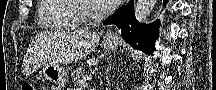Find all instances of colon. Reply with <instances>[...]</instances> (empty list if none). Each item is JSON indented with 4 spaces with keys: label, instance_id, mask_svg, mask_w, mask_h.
<instances>
[{
    "label": "colon",
    "instance_id": "5ec220e1",
    "mask_svg": "<svg viewBox=\"0 0 216 90\" xmlns=\"http://www.w3.org/2000/svg\"><path fill=\"white\" fill-rule=\"evenodd\" d=\"M22 90H35V87L32 84L25 83L22 86Z\"/></svg>",
    "mask_w": 216,
    "mask_h": 90
}]
</instances>
